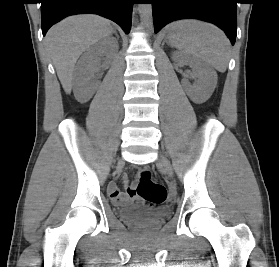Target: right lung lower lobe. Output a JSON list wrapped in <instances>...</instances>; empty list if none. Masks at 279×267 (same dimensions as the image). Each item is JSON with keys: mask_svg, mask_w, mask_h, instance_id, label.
<instances>
[{"mask_svg": "<svg viewBox=\"0 0 279 267\" xmlns=\"http://www.w3.org/2000/svg\"><path fill=\"white\" fill-rule=\"evenodd\" d=\"M134 0H42V33L66 16L95 13L113 20L129 33Z\"/></svg>", "mask_w": 279, "mask_h": 267, "instance_id": "obj_1", "label": "right lung lower lobe"}]
</instances>
